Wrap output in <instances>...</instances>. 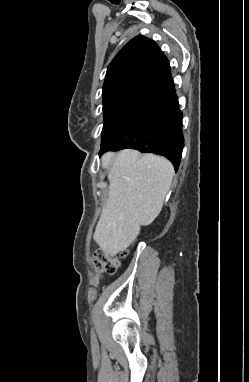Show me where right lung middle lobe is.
Segmentation results:
<instances>
[{"instance_id":"right-lung-middle-lobe-1","label":"right lung middle lobe","mask_w":249,"mask_h":382,"mask_svg":"<svg viewBox=\"0 0 249 382\" xmlns=\"http://www.w3.org/2000/svg\"><path fill=\"white\" fill-rule=\"evenodd\" d=\"M151 103L140 100H125L103 107L104 125L101 146L125 131Z\"/></svg>"}]
</instances>
